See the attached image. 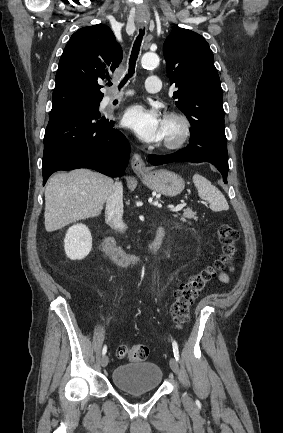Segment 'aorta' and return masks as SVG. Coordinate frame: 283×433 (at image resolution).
Returning a JSON list of instances; mask_svg holds the SVG:
<instances>
[{
	"label": "aorta",
	"mask_w": 283,
	"mask_h": 433,
	"mask_svg": "<svg viewBox=\"0 0 283 433\" xmlns=\"http://www.w3.org/2000/svg\"><path fill=\"white\" fill-rule=\"evenodd\" d=\"M159 57L155 53H145L142 56L141 64L144 68H154L159 65Z\"/></svg>",
	"instance_id": "762f6f07"
}]
</instances>
